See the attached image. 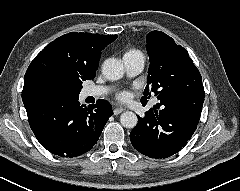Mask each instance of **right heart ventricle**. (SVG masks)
<instances>
[{"mask_svg":"<svg viewBox=\"0 0 240 191\" xmlns=\"http://www.w3.org/2000/svg\"><path fill=\"white\" fill-rule=\"evenodd\" d=\"M126 53H141V52L139 50H136V49H131V50L127 51Z\"/></svg>","mask_w":240,"mask_h":191,"instance_id":"right-heart-ventricle-1","label":"right heart ventricle"}]
</instances>
